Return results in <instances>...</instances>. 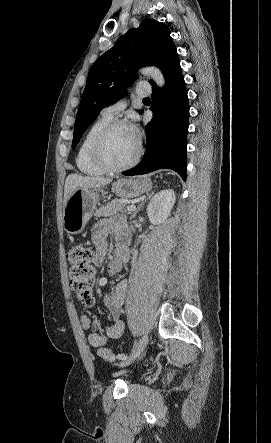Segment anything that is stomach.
<instances>
[{"instance_id": "0dacf381", "label": "stomach", "mask_w": 271, "mask_h": 443, "mask_svg": "<svg viewBox=\"0 0 271 443\" xmlns=\"http://www.w3.org/2000/svg\"><path fill=\"white\" fill-rule=\"evenodd\" d=\"M119 198H137L152 190V182L148 178H121L113 188ZM100 200L97 190L91 188H76L69 196L63 210V227L67 233H81L87 222L93 216Z\"/></svg>"}]
</instances>
